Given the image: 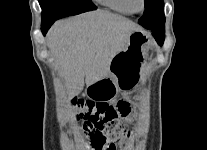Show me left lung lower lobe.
<instances>
[{"label":"left lung lower lobe","mask_w":207,"mask_h":150,"mask_svg":"<svg viewBox=\"0 0 207 150\" xmlns=\"http://www.w3.org/2000/svg\"><path fill=\"white\" fill-rule=\"evenodd\" d=\"M152 35L159 45H162L165 38V30L161 31H152Z\"/></svg>","instance_id":"left-lung-lower-lobe-1"}]
</instances>
